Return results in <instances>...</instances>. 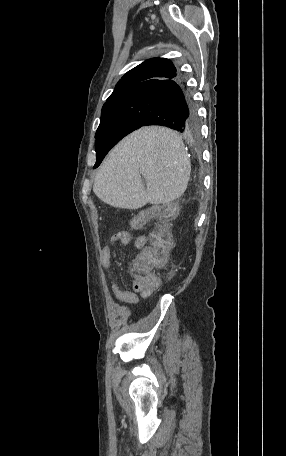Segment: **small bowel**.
Instances as JSON below:
<instances>
[{
    "instance_id": "1",
    "label": "small bowel",
    "mask_w": 286,
    "mask_h": 456,
    "mask_svg": "<svg viewBox=\"0 0 286 456\" xmlns=\"http://www.w3.org/2000/svg\"><path fill=\"white\" fill-rule=\"evenodd\" d=\"M121 235L118 239L113 240V242H120L122 244H128L130 242V235L128 232L122 231L120 232ZM147 242V238L143 235L137 236L134 240V246L137 249L143 248ZM100 258L102 261L103 266L107 270H111V259H112V248L109 245H106L102 248L100 252ZM111 287L114 292V295L116 298L123 304L128 305V306H136L139 303V296L140 294L144 298H149L152 295L151 291H139L135 289L134 283H133V291L123 289L120 284L116 281L113 280L111 282Z\"/></svg>"
}]
</instances>
